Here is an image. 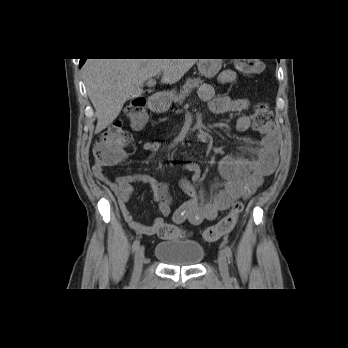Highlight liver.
I'll return each mask as SVG.
<instances>
[{
    "mask_svg": "<svg viewBox=\"0 0 348 348\" xmlns=\"http://www.w3.org/2000/svg\"><path fill=\"white\" fill-rule=\"evenodd\" d=\"M199 59H87L83 77L95 108V133L107 128L125 102L143 93L145 81L161 76V83L174 84Z\"/></svg>",
    "mask_w": 348,
    "mask_h": 348,
    "instance_id": "obj_1",
    "label": "liver"
}]
</instances>
